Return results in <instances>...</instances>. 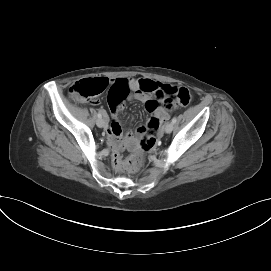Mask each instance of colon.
<instances>
[{"mask_svg": "<svg viewBox=\"0 0 271 271\" xmlns=\"http://www.w3.org/2000/svg\"><path fill=\"white\" fill-rule=\"evenodd\" d=\"M108 86L109 81L105 78L84 79L71 86L70 96L77 100L94 102L95 98L103 93ZM142 89L148 90V86L143 84ZM156 97L163 100L165 105L169 107L174 105L188 106L193 101V95L185 87L166 86L161 91L157 92ZM158 126L159 121L155 118H151L148 123L149 134L142 138L139 148L125 159H122L118 152L114 153V166L120 170H138L143 163L144 152L151 150L156 144V140L152 133Z\"/></svg>", "mask_w": 271, "mask_h": 271, "instance_id": "colon-1", "label": "colon"}]
</instances>
